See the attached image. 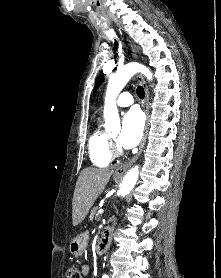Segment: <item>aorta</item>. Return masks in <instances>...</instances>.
<instances>
[{"mask_svg":"<svg viewBox=\"0 0 221 278\" xmlns=\"http://www.w3.org/2000/svg\"><path fill=\"white\" fill-rule=\"evenodd\" d=\"M137 72H141L148 80L152 79L151 71L146 66L139 63H128L121 69L117 70L115 74L110 76L104 103V117L106 123L110 122L112 119H118L119 116L116 105L117 96L128 83L130 78ZM138 176V166L131 168L127 172L118 192L121 197L130 193L137 182Z\"/></svg>","mask_w":221,"mask_h":278,"instance_id":"1","label":"aorta"}]
</instances>
